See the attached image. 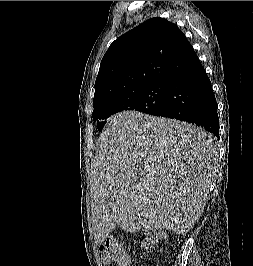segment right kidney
I'll return each instance as SVG.
<instances>
[{"instance_id": "ca27d5eb", "label": "right kidney", "mask_w": 253, "mask_h": 266, "mask_svg": "<svg viewBox=\"0 0 253 266\" xmlns=\"http://www.w3.org/2000/svg\"><path fill=\"white\" fill-rule=\"evenodd\" d=\"M168 235L166 233V231L159 229L157 231V229L152 230V232H149L146 234V238L145 241L143 243L144 246L146 245H150L151 247L155 244H157L159 242V239H167Z\"/></svg>"}]
</instances>
